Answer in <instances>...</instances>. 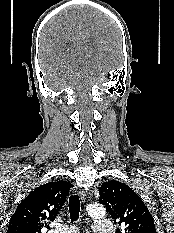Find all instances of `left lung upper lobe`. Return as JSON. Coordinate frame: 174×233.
<instances>
[{"label": "left lung upper lobe", "mask_w": 174, "mask_h": 233, "mask_svg": "<svg viewBox=\"0 0 174 233\" xmlns=\"http://www.w3.org/2000/svg\"><path fill=\"white\" fill-rule=\"evenodd\" d=\"M99 202L125 233H156L152 215L142 199L126 184L119 181L102 183ZM119 231L117 229L116 233ZM120 233V232H119Z\"/></svg>", "instance_id": "obj_1"}]
</instances>
